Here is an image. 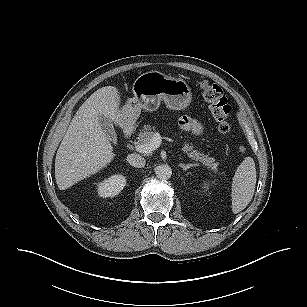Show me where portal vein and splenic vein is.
I'll return each instance as SVG.
<instances>
[{"mask_svg": "<svg viewBox=\"0 0 307 307\" xmlns=\"http://www.w3.org/2000/svg\"><path fill=\"white\" fill-rule=\"evenodd\" d=\"M162 143V137L158 132H155L150 140V142L145 143L143 145H136V151L140 153H151L152 151L156 150Z\"/></svg>", "mask_w": 307, "mask_h": 307, "instance_id": "obj_1", "label": "portal vein and splenic vein"}]
</instances>
